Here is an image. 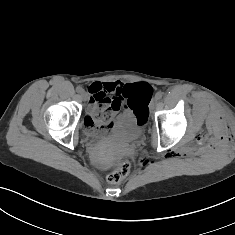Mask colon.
I'll list each match as a JSON object with an SVG mask.
<instances>
[{
  "mask_svg": "<svg viewBox=\"0 0 235 235\" xmlns=\"http://www.w3.org/2000/svg\"><path fill=\"white\" fill-rule=\"evenodd\" d=\"M152 92V88L147 83H135L128 86L124 91L126 106L132 109L136 115L137 121L142 125L147 122L148 109L146 106L147 99ZM111 113L109 110H102L93 116L86 117V125L94 130L102 129L111 121ZM130 163L126 158L116 162L110 169L107 181L110 184L121 182L128 174Z\"/></svg>",
  "mask_w": 235,
  "mask_h": 235,
  "instance_id": "obj_1",
  "label": "colon"
}]
</instances>
